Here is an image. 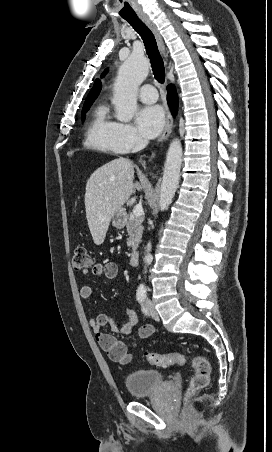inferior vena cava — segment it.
I'll list each match as a JSON object with an SVG mask.
<instances>
[{"instance_id":"1","label":"inferior vena cava","mask_w":272,"mask_h":452,"mask_svg":"<svg viewBox=\"0 0 272 452\" xmlns=\"http://www.w3.org/2000/svg\"><path fill=\"white\" fill-rule=\"evenodd\" d=\"M147 144H148V140L143 139V138H138L137 141H136V144H135V146H134V148H133V150H132V152H133V153H136V152L142 150L143 148H145V147L147 146ZM149 258H150V256H149V255H146V256L144 257V262H145V263H148ZM145 269H146V266H145ZM145 272H146V271H145Z\"/></svg>"}]
</instances>
